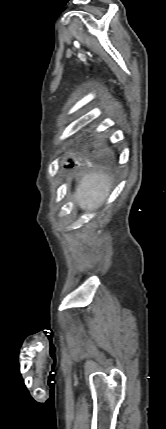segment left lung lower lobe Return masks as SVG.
I'll return each instance as SVG.
<instances>
[{
    "instance_id": "1",
    "label": "left lung lower lobe",
    "mask_w": 166,
    "mask_h": 429,
    "mask_svg": "<svg viewBox=\"0 0 166 429\" xmlns=\"http://www.w3.org/2000/svg\"><path fill=\"white\" fill-rule=\"evenodd\" d=\"M69 162H71V160H68ZM67 168H72L73 167V163L69 164L68 166H66Z\"/></svg>"
}]
</instances>
